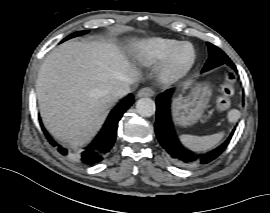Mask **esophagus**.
<instances>
[{"label":"esophagus","instance_id":"obj_1","mask_svg":"<svg viewBox=\"0 0 270 213\" xmlns=\"http://www.w3.org/2000/svg\"><path fill=\"white\" fill-rule=\"evenodd\" d=\"M154 93H155V92H154L153 89H151V88H149V87H146V88L140 89V90L137 92L136 96H137L138 98H140V97H151V96L154 95Z\"/></svg>","mask_w":270,"mask_h":213}]
</instances>
